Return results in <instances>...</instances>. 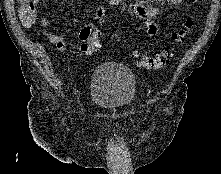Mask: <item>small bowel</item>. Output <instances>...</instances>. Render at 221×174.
I'll list each match as a JSON object with an SVG mask.
<instances>
[{"label":"small bowel","mask_w":221,"mask_h":174,"mask_svg":"<svg viewBox=\"0 0 221 174\" xmlns=\"http://www.w3.org/2000/svg\"><path fill=\"white\" fill-rule=\"evenodd\" d=\"M183 2L184 0H134L128 5L127 12L138 17L142 21L145 33L152 37L158 32V25L156 24L155 19L160 14L162 8L165 6L176 7ZM105 13L106 11L103 6L97 7L94 13L93 21L86 24L82 30L93 29L95 23L104 18ZM41 22L44 26L43 33L47 37L48 41L54 44L66 59H69L67 46L65 44V36L63 34L51 33L49 31L51 24L47 19L42 18Z\"/></svg>","instance_id":"obj_1"}]
</instances>
